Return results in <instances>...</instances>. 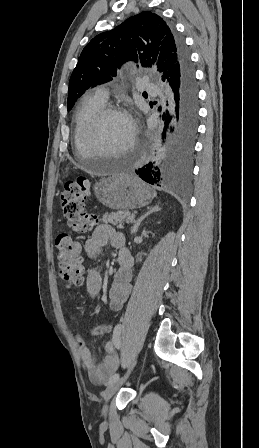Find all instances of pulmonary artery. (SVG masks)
<instances>
[{"mask_svg":"<svg viewBox=\"0 0 259 448\" xmlns=\"http://www.w3.org/2000/svg\"><path fill=\"white\" fill-rule=\"evenodd\" d=\"M94 93L97 98L103 102H106L109 98V90L106 86H98L97 88H95Z\"/></svg>","mask_w":259,"mask_h":448,"instance_id":"obj_1","label":"pulmonary artery"}]
</instances>
